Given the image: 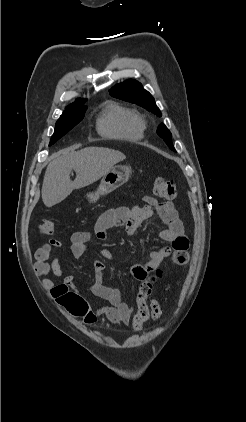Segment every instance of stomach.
Listing matches in <instances>:
<instances>
[{
    "label": "stomach",
    "instance_id": "0dacf381",
    "mask_svg": "<svg viewBox=\"0 0 246 422\" xmlns=\"http://www.w3.org/2000/svg\"><path fill=\"white\" fill-rule=\"evenodd\" d=\"M132 171L129 166H115L105 174L96 192L87 195L90 202L97 201L100 196L107 195L124 185L130 178Z\"/></svg>",
    "mask_w": 246,
    "mask_h": 422
}]
</instances>
